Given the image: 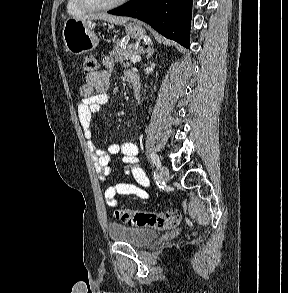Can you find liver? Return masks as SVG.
I'll return each instance as SVG.
<instances>
[{
  "label": "liver",
  "mask_w": 288,
  "mask_h": 293,
  "mask_svg": "<svg viewBox=\"0 0 288 293\" xmlns=\"http://www.w3.org/2000/svg\"><path fill=\"white\" fill-rule=\"evenodd\" d=\"M75 18L80 20H104L110 23H114L116 25H122L129 20L128 17L113 16L106 13L80 15L75 16Z\"/></svg>",
  "instance_id": "6515ba94"
}]
</instances>
